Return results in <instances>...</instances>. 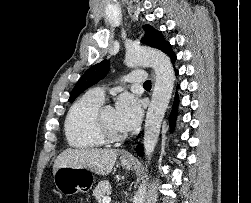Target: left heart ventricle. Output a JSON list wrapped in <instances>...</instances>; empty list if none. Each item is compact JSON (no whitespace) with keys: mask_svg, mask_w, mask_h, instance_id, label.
I'll return each instance as SVG.
<instances>
[{"mask_svg":"<svg viewBox=\"0 0 251 203\" xmlns=\"http://www.w3.org/2000/svg\"><path fill=\"white\" fill-rule=\"evenodd\" d=\"M103 117L106 124L112 131L119 134L123 133L116 124L115 110L113 108H105L103 110Z\"/></svg>","mask_w":251,"mask_h":203,"instance_id":"b2bd125f","label":"left heart ventricle"}]
</instances>
